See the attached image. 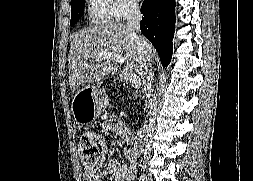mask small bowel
<instances>
[{"label": "small bowel", "instance_id": "small-bowel-1", "mask_svg": "<svg viewBox=\"0 0 253 181\" xmlns=\"http://www.w3.org/2000/svg\"><path fill=\"white\" fill-rule=\"evenodd\" d=\"M102 131L104 134H114L130 144H137V139L134 134L127 129L123 122L118 119L107 121ZM138 150L134 149L126 155V163H121L116 160H111L107 168L100 173L87 174L88 181H106L111 179L114 181H133L136 175V161Z\"/></svg>", "mask_w": 253, "mask_h": 181}]
</instances>
